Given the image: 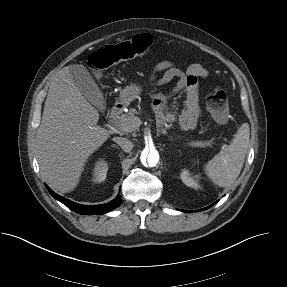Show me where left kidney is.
<instances>
[{
    "mask_svg": "<svg viewBox=\"0 0 287 287\" xmlns=\"http://www.w3.org/2000/svg\"><path fill=\"white\" fill-rule=\"evenodd\" d=\"M180 177L186 186L195 188V189L200 188L198 180L195 177H193L188 170L183 169L180 174Z\"/></svg>",
    "mask_w": 287,
    "mask_h": 287,
    "instance_id": "5707ae66",
    "label": "left kidney"
}]
</instances>
